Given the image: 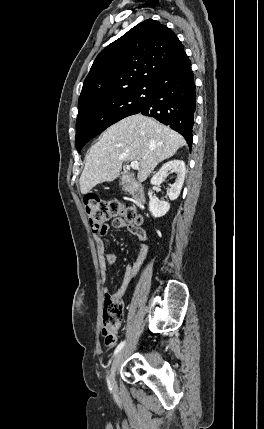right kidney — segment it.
Returning a JSON list of instances; mask_svg holds the SVG:
<instances>
[{"mask_svg": "<svg viewBox=\"0 0 264 429\" xmlns=\"http://www.w3.org/2000/svg\"><path fill=\"white\" fill-rule=\"evenodd\" d=\"M169 171H174L177 176L175 182L171 185L168 197L170 200L178 198L185 178L186 168L182 160H171L165 163L161 169L152 177L151 184L159 185L167 176ZM149 195V210L155 218L164 216L170 209V204L165 201H160L153 196V191H148Z\"/></svg>", "mask_w": 264, "mask_h": 429, "instance_id": "1", "label": "right kidney"}]
</instances>
